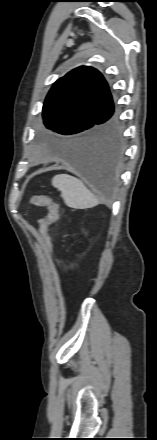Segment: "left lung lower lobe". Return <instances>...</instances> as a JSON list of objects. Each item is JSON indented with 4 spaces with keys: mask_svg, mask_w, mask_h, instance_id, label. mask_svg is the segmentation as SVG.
<instances>
[{
    "mask_svg": "<svg viewBox=\"0 0 157 440\" xmlns=\"http://www.w3.org/2000/svg\"><path fill=\"white\" fill-rule=\"evenodd\" d=\"M123 152L122 126L114 116L101 131L66 145L65 158L96 190L109 194L116 184Z\"/></svg>",
    "mask_w": 157,
    "mask_h": 440,
    "instance_id": "left-lung-lower-lobe-1",
    "label": "left lung lower lobe"
}]
</instances>
